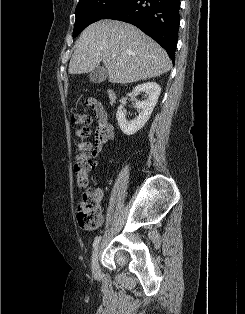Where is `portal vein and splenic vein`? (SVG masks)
<instances>
[{"mask_svg": "<svg viewBox=\"0 0 245 314\" xmlns=\"http://www.w3.org/2000/svg\"><path fill=\"white\" fill-rule=\"evenodd\" d=\"M112 57H113V58H116V54H113Z\"/></svg>", "mask_w": 245, "mask_h": 314, "instance_id": "18ae733b", "label": "portal vein and splenic vein"}]
</instances>
